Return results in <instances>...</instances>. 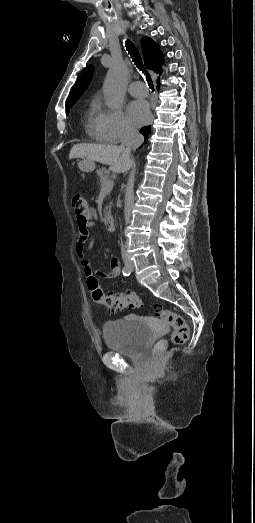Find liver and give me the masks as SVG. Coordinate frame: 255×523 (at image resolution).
Masks as SVG:
<instances>
[{
	"mask_svg": "<svg viewBox=\"0 0 255 523\" xmlns=\"http://www.w3.org/2000/svg\"><path fill=\"white\" fill-rule=\"evenodd\" d=\"M121 152H123V146L76 144L69 154V160H72V158H86V160H92V162H100V164L110 166L109 170H111V172L124 174V172L130 170L132 164L122 158Z\"/></svg>",
	"mask_w": 255,
	"mask_h": 523,
	"instance_id": "1",
	"label": "liver"
}]
</instances>
